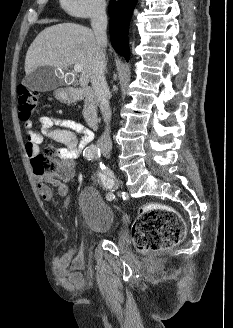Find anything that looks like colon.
<instances>
[{"label":"colon","instance_id":"obj_1","mask_svg":"<svg viewBox=\"0 0 233 328\" xmlns=\"http://www.w3.org/2000/svg\"><path fill=\"white\" fill-rule=\"evenodd\" d=\"M38 105V96L25 86L18 87L19 116L29 121ZM55 150L48 147L35 156L32 164L39 176H56L57 164L54 161ZM185 236V223L181 215L173 208L150 204L142 207L133 224L132 240L135 247L143 253L159 252L178 245Z\"/></svg>","mask_w":233,"mask_h":328}]
</instances>
